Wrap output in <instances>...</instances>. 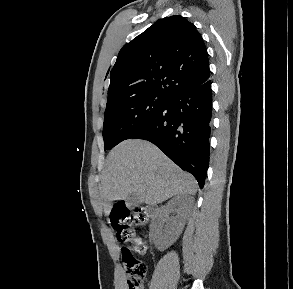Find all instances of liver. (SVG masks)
Returning <instances> with one entry per match:
<instances>
[{"mask_svg":"<svg viewBox=\"0 0 293 289\" xmlns=\"http://www.w3.org/2000/svg\"><path fill=\"white\" fill-rule=\"evenodd\" d=\"M99 190L106 203L134 193L142 203L156 205L177 194H195L197 182L155 145L129 139L109 152Z\"/></svg>","mask_w":293,"mask_h":289,"instance_id":"1","label":"liver"}]
</instances>
